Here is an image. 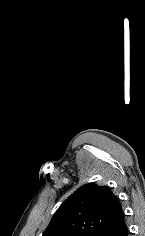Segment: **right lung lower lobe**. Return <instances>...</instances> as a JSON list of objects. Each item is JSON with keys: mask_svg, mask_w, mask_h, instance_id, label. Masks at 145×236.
I'll use <instances>...</instances> for the list:
<instances>
[{"mask_svg": "<svg viewBox=\"0 0 145 236\" xmlns=\"http://www.w3.org/2000/svg\"><path fill=\"white\" fill-rule=\"evenodd\" d=\"M97 236H128L124 217L101 231Z\"/></svg>", "mask_w": 145, "mask_h": 236, "instance_id": "right-lung-lower-lobe-1", "label": "right lung lower lobe"}]
</instances>
